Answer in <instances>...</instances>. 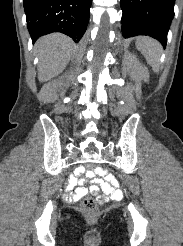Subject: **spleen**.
Masks as SVG:
<instances>
[{"instance_id":"spleen-1","label":"spleen","mask_w":183,"mask_h":246,"mask_svg":"<svg viewBox=\"0 0 183 246\" xmlns=\"http://www.w3.org/2000/svg\"><path fill=\"white\" fill-rule=\"evenodd\" d=\"M136 47L146 57L148 63L153 67V70L158 72L162 54V46L160 43L149 37H140L136 41Z\"/></svg>"}]
</instances>
